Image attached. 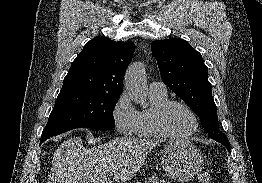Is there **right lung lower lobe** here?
I'll use <instances>...</instances> for the list:
<instances>
[{
  "label": "right lung lower lobe",
  "instance_id": "obj_1",
  "mask_svg": "<svg viewBox=\"0 0 262 183\" xmlns=\"http://www.w3.org/2000/svg\"><path fill=\"white\" fill-rule=\"evenodd\" d=\"M48 138H50V137H41V139H40V145H41L45 140H47Z\"/></svg>",
  "mask_w": 262,
  "mask_h": 183
}]
</instances>
